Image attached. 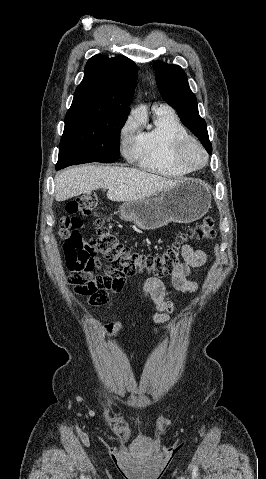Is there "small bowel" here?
<instances>
[{
  "label": "small bowel",
  "mask_w": 266,
  "mask_h": 479,
  "mask_svg": "<svg viewBox=\"0 0 266 479\" xmlns=\"http://www.w3.org/2000/svg\"><path fill=\"white\" fill-rule=\"evenodd\" d=\"M183 262L175 269L171 276V283L174 289L183 293H194L198 288L197 282L189 279L191 269L201 267L206 261V253L203 250H195L190 245L185 244L182 247ZM108 271V274H112ZM144 295L156 306V312L153 320L158 327L154 332L159 333L169 328L170 314L174 310L172 302L165 298L166 288L161 280L155 277H149L143 285ZM111 306L110 303H108ZM97 323V322H96ZM121 322H109L102 326L103 334L112 338L121 328Z\"/></svg>",
  "instance_id": "c3829d8e"
}]
</instances>
